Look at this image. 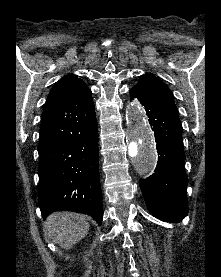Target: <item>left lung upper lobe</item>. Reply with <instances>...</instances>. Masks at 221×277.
<instances>
[{"label": "left lung upper lobe", "instance_id": "obj_1", "mask_svg": "<svg viewBox=\"0 0 221 277\" xmlns=\"http://www.w3.org/2000/svg\"><path fill=\"white\" fill-rule=\"evenodd\" d=\"M144 91L153 98L168 114L179 120L178 109L173 100L170 89L156 76L144 74L140 76L138 83L134 86Z\"/></svg>", "mask_w": 221, "mask_h": 277}]
</instances>
